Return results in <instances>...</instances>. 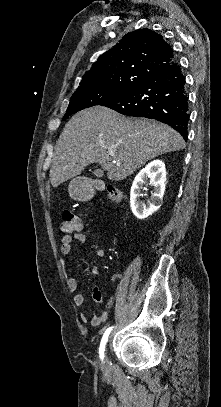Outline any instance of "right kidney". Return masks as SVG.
<instances>
[{
    "label": "right kidney",
    "instance_id": "obj_1",
    "mask_svg": "<svg viewBox=\"0 0 221 407\" xmlns=\"http://www.w3.org/2000/svg\"><path fill=\"white\" fill-rule=\"evenodd\" d=\"M150 179L154 186L151 198L145 204L139 200L143 184ZM166 169L161 160H153L148 163L135 177L130 191V206L133 214L138 219H145L156 212L161 204L165 192Z\"/></svg>",
    "mask_w": 221,
    "mask_h": 407
}]
</instances>
